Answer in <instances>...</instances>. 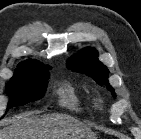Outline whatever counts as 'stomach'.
I'll list each match as a JSON object with an SVG mask.
<instances>
[{
  "instance_id": "1",
  "label": "stomach",
  "mask_w": 141,
  "mask_h": 139,
  "mask_svg": "<svg viewBox=\"0 0 141 139\" xmlns=\"http://www.w3.org/2000/svg\"><path fill=\"white\" fill-rule=\"evenodd\" d=\"M76 139H97V138L93 133L89 132L78 136Z\"/></svg>"
}]
</instances>
